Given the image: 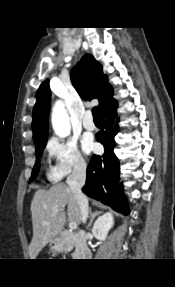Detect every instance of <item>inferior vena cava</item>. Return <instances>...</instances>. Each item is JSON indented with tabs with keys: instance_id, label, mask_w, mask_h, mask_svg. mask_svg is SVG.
I'll return each mask as SVG.
<instances>
[{
	"instance_id": "obj_1",
	"label": "inferior vena cava",
	"mask_w": 175,
	"mask_h": 287,
	"mask_svg": "<svg viewBox=\"0 0 175 287\" xmlns=\"http://www.w3.org/2000/svg\"><path fill=\"white\" fill-rule=\"evenodd\" d=\"M85 180L86 163L84 161H79L75 164L73 172L67 177L66 182L79 205L83 223H85L88 218V200L81 190L85 184Z\"/></svg>"
}]
</instances>
